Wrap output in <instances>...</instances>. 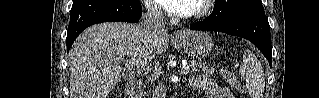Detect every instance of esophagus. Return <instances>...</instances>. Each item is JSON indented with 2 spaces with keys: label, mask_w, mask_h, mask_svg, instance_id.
Instances as JSON below:
<instances>
[{
  "label": "esophagus",
  "mask_w": 319,
  "mask_h": 98,
  "mask_svg": "<svg viewBox=\"0 0 319 98\" xmlns=\"http://www.w3.org/2000/svg\"><path fill=\"white\" fill-rule=\"evenodd\" d=\"M174 36L175 38H182L184 36V33L182 31L177 30L174 32Z\"/></svg>",
  "instance_id": "obj_1"
}]
</instances>
